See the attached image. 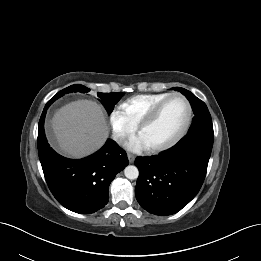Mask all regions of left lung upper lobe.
<instances>
[{"instance_id":"5c2ea615","label":"left lung upper lobe","mask_w":261,"mask_h":261,"mask_svg":"<svg viewBox=\"0 0 261 261\" xmlns=\"http://www.w3.org/2000/svg\"><path fill=\"white\" fill-rule=\"evenodd\" d=\"M172 89L177 90L186 96L195 114L188 133L206 132L209 134H214L211 115L208 111L206 104L199 98H197L193 93L184 88L174 87Z\"/></svg>"}]
</instances>
